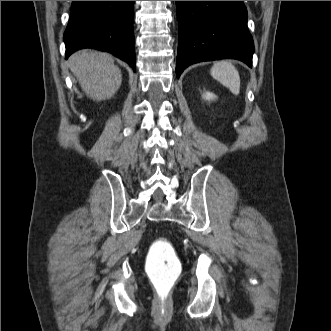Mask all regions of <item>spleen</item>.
Masks as SVG:
<instances>
[{
	"instance_id": "obj_1",
	"label": "spleen",
	"mask_w": 331,
	"mask_h": 331,
	"mask_svg": "<svg viewBox=\"0 0 331 331\" xmlns=\"http://www.w3.org/2000/svg\"><path fill=\"white\" fill-rule=\"evenodd\" d=\"M211 75L222 85L229 88L234 95L239 94L240 77L237 69L231 62L219 61L214 63L211 68Z\"/></svg>"
}]
</instances>
